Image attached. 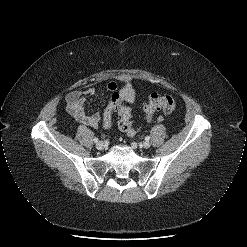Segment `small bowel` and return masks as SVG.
<instances>
[{
    "label": "small bowel",
    "instance_id": "small-bowel-1",
    "mask_svg": "<svg viewBox=\"0 0 247 247\" xmlns=\"http://www.w3.org/2000/svg\"><path fill=\"white\" fill-rule=\"evenodd\" d=\"M107 89L114 93L118 92V82L112 80L108 83ZM96 92L94 87H89L84 90H75L67 95V110L69 114L79 123L90 126L98 127L101 121V115L99 113L88 114L85 112L83 107L84 99L88 96L93 95Z\"/></svg>",
    "mask_w": 247,
    "mask_h": 247
}]
</instances>
